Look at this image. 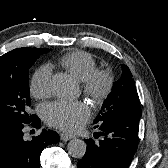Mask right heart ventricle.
<instances>
[{
  "mask_svg": "<svg viewBox=\"0 0 168 168\" xmlns=\"http://www.w3.org/2000/svg\"><path fill=\"white\" fill-rule=\"evenodd\" d=\"M59 64L80 81H84L97 69L95 58L85 51L69 52L59 59Z\"/></svg>",
  "mask_w": 168,
  "mask_h": 168,
  "instance_id": "e07e8e85",
  "label": "right heart ventricle"
}]
</instances>
